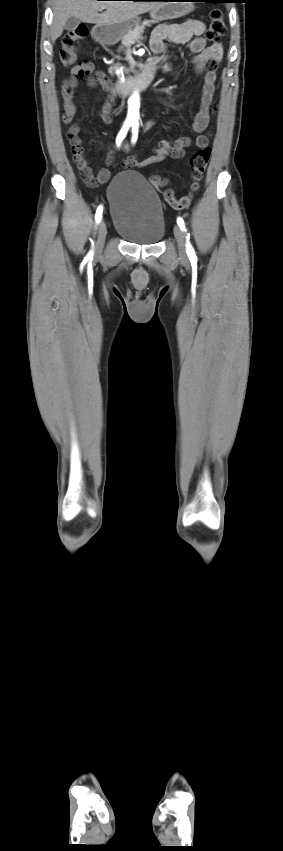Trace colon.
Wrapping results in <instances>:
<instances>
[{"mask_svg": "<svg viewBox=\"0 0 283 851\" xmlns=\"http://www.w3.org/2000/svg\"><path fill=\"white\" fill-rule=\"evenodd\" d=\"M210 25L206 32V38L209 41L218 43L220 39L226 34V25L224 22L223 13L220 9H213L210 13ZM88 35V28L81 24L76 28L66 32L61 40V48H60V60L61 63L65 66L72 65L77 60V51L79 47L80 40L86 38ZM211 155V149L209 147H202L198 149L190 158V170H191V186L188 194L181 198H176L174 192L171 188L166 187L167 181L163 177L159 175H155L152 178V184L155 188L161 192L164 199L171 205L175 210H183L189 207L192 202L194 193L199 188V181L202 179L203 173L207 167Z\"/></svg>", "mask_w": 283, "mask_h": 851, "instance_id": "obj_1", "label": "colon"}]
</instances>
